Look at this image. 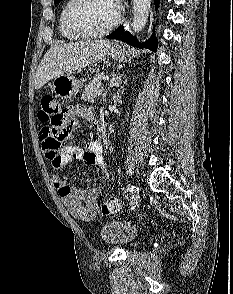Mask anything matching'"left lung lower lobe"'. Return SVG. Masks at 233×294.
<instances>
[{
	"instance_id": "obj_1",
	"label": "left lung lower lobe",
	"mask_w": 233,
	"mask_h": 294,
	"mask_svg": "<svg viewBox=\"0 0 233 294\" xmlns=\"http://www.w3.org/2000/svg\"><path fill=\"white\" fill-rule=\"evenodd\" d=\"M159 0H155V8L158 9ZM109 39H117L123 42L128 43L131 46L139 47V48H149L153 51L157 49V40L155 39V33L152 34L151 38L146 42H138L137 38L131 35L129 32H124L123 27L116 29L114 32L107 36Z\"/></svg>"
}]
</instances>
